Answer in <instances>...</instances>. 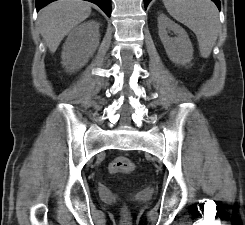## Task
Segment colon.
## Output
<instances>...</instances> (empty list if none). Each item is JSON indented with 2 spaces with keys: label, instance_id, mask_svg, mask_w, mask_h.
Instances as JSON below:
<instances>
[{
  "label": "colon",
  "instance_id": "5ec220e1",
  "mask_svg": "<svg viewBox=\"0 0 245 225\" xmlns=\"http://www.w3.org/2000/svg\"><path fill=\"white\" fill-rule=\"evenodd\" d=\"M135 163L131 159L119 156L112 160L109 164V171L111 174L117 175V174H126L131 173L135 170ZM123 214L125 217V220H128V210L124 208Z\"/></svg>",
  "mask_w": 245,
  "mask_h": 225
}]
</instances>
